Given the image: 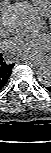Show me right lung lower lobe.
I'll list each match as a JSON object with an SVG mask.
<instances>
[{
  "instance_id": "right-lung-lower-lobe-1",
  "label": "right lung lower lobe",
  "mask_w": 51,
  "mask_h": 153,
  "mask_svg": "<svg viewBox=\"0 0 51 153\" xmlns=\"http://www.w3.org/2000/svg\"><path fill=\"white\" fill-rule=\"evenodd\" d=\"M1 56V53H0ZM14 64H6L3 58L0 57V89L7 83Z\"/></svg>"
}]
</instances>
